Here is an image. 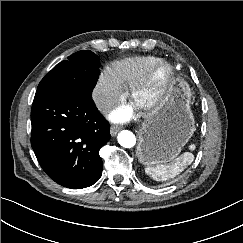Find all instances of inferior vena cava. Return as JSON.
Listing matches in <instances>:
<instances>
[{
	"mask_svg": "<svg viewBox=\"0 0 243 243\" xmlns=\"http://www.w3.org/2000/svg\"><path fill=\"white\" fill-rule=\"evenodd\" d=\"M93 99L97 108L101 111L110 110L114 105V102L104 95L94 94Z\"/></svg>",
	"mask_w": 243,
	"mask_h": 243,
	"instance_id": "obj_1",
	"label": "inferior vena cava"
}]
</instances>
